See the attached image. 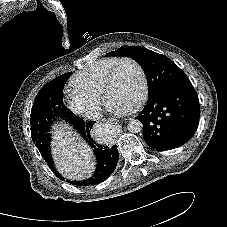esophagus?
I'll use <instances>...</instances> for the list:
<instances>
[{
  "mask_svg": "<svg viewBox=\"0 0 227 227\" xmlns=\"http://www.w3.org/2000/svg\"><path fill=\"white\" fill-rule=\"evenodd\" d=\"M110 123L116 127H120L118 121L112 120Z\"/></svg>",
  "mask_w": 227,
  "mask_h": 227,
  "instance_id": "esophagus-1",
  "label": "esophagus"
}]
</instances>
